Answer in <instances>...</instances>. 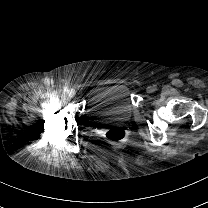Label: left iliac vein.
I'll list each match as a JSON object with an SVG mask.
<instances>
[{
    "mask_svg": "<svg viewBox=\"0 0 208 208\" xmlns=\"http://www.w3.org/2000/svg\"><path fill=\"white\" fill-rule=\"evenodd\" d=\"M154 91V88L152 86L147 87V92L152 93Z\"/></svg>",
    "mask_w": 208,
    "mask_h": 208,
    "instance_id": "4c4485c4",
    "label": "left iliac vein"
}]
</instances>
